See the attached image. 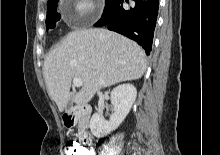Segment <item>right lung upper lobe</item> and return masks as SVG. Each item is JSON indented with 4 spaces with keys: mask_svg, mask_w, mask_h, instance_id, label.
<instances>
[{
    "mask_svg": "<svg viewBox=\"0 0 220 155\" xmlns=\"http://www.w3.org/2000/svg\"><path fill=\"white\" fill-rule=\"evenodd\" d=\"M52 1H54V0H48V3H51ZM48 3H47V4H48Z\"/></svg>",
    "mask_w": 220,
    "mask_h": 155,
    "instance_id": "right-lung-upper-lobe-1",
    "label": "right lung upper lobe"
}]
</instances>
